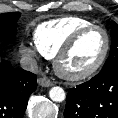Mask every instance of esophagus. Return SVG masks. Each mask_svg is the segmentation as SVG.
<instances>
[{"instance_id": "esophagus-1", "label": "esophagus", "mask_w": 118, "mask_h": 118, "mask_svg": "<svg viewBox=\"0 0 118 118\" xmlns=\"http://www.w3.org/2000/svg\"><path fill=\"white\" fill-rule=\"evenodd\" d=\"M38 83L42 87H50V86L53 85V83L47 77H45V76L40 77L38 79Z\"/></svg>"}]
</instances>
